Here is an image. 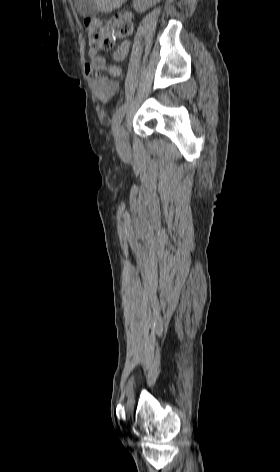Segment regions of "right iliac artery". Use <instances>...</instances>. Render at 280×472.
<instances>
[{"instance_id": "obj_1", "label": "right iliac artery", "mask_w": 280, "mask_h": 472, "mask_svg": "<svg viewBox=\"0 0 280 472\" xmlns=\"http://www.w3.org/2000/svg\"><path fill=\"white\" fill-rule=\"evenodd\" d=\"M125 109H126V104H122L113 115L112 131H113L114 136H117L118 134V130H119L123 115L125 113Z\"/></svg>"}]
</instances>
